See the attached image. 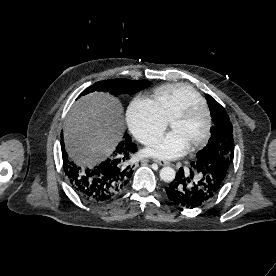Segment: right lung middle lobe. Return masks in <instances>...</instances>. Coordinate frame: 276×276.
<instances>
[{
  "instance_id": "1",
  "label": "right lung middle lobe",
  "mask_w": 276,
  "mask_h": 276,
  "mask_svg": "<svg viewBox=\"0 0 276 276\" xmlns=\"http://www.w3.org/2000/svg\"><path fill=\"white\" fill-rule=\"evenodd\" d=\"M151 85V82L148 80H127V79H114V80H106L99 81L92 86L86 88L81 95H86L90 92L94 91H103L108 92L114 96L129 94L132 95L140 90H143ZM80 95V96H81ZM128 135L125 134V138Z\"/></svg>"
}]
</instances>
